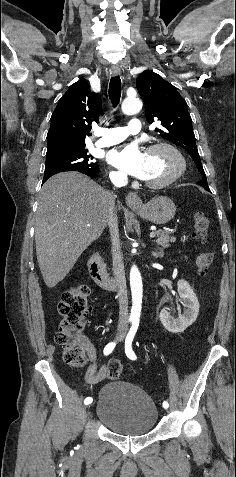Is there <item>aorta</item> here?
I'll return each mask as SVG.
<instances>
[{
  "label": "aorta",
  "instance_id": "obj_1",
  "mask_svg": "<svg viewBox=\"0 0 236 477\" xmlns=\"http://www.w3.org/2000/svg\"><path fill=\"white\" fill-rule=\"evenodd\" d=\"M142 108V102L138 98H125L121 109L126 115H134ZM130 287L132 295V308L130 317L132 320H139L142 308L143 285L138 268L134 265L130 270Z\"/></svg>",
  "mask_w": 236,
  "mask_h": 477
}]
</instances>
